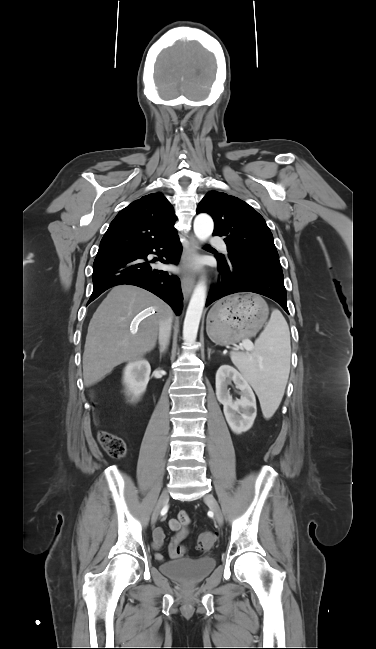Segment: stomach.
I'll list each match as a JSON object with an SVG mask.
<instances>
[{
  "mask_svg": "<svg viewBox=\"0 0 376 649\" xmlns=\"http://www.w3.org/2000/svg\"><path fill=\"white\" fill-rule=\"evenodd\" d=\"M269 314L259 295L235 294L218 301L207 317V334L220 346L254 336Z\"/></svg>",
  "mask_w": 376,
  "mask_h": 649,
  "instance_id": "1",
  "label": "stomach"
}]
</instances>
